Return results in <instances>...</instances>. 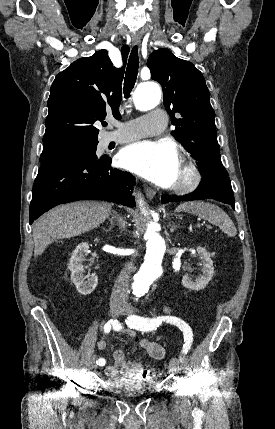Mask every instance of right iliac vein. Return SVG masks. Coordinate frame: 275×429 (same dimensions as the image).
<instances>
[{"mask_svg": "<svg viewBox=\"0 0 275 429\" xmlns=\"http://www.w3.org/2000/svg\"><path fill=\"white\" fill-rule=\"evenodd\" d=\"M122 308L123 307H122L121 304H119V303H112L110 305V312H111L112 317L118 316L121 313ZM91 367L92 368H96L97 367V356L96 355H94L92 357Z\"/></svg>", "mask_w": 275, "mask_h": 429, "instance_id": "1", "label": "right iliac vein"}]
</instances>
